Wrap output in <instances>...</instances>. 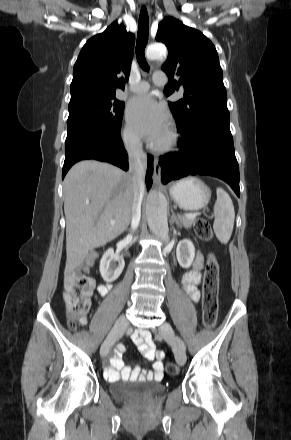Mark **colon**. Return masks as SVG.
<instances>
[{
    "instance_id": "1",
    "label": "colon",
    "mask_w": 291,
    "mask_h": 440,
    "mask_svg": "<svg viewBox=\"0 0 291 440\" xmlns=\"http://www.w3.org/2000/svg\"><path fill=\"white\" fill-rule=\"evenodd\" d=\"M194 233L201 240L208 241L212 238V230L207 220L199 218L194 224ZM218 273L219 267L214 254H209L204 270L203 282V325L206 328L214 326L218 313ZM95 288L94 280L85 274H75L70 277L65 285L64 299L69 318L68 325L75 328L79 319L84 317L91 305V294ZM166 370L170 374L177 371L172 362L166 363Z\"/></svg>"
}]
</instances>
